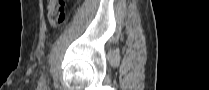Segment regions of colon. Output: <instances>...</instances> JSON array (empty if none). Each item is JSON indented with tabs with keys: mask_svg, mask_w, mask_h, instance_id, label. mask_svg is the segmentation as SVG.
<instances>
[{
	"mask_svg": "<svg viewBox=\"0 0 209 90\" xmlns=\"http://www.w3.org/2000/svg\"><path fill=\"white\" fill-rule=\"evenodd\" d=\"M47 17L51 26H61L66 20V2L64 0H50Z\"/></svg>",
	"mask_w": 209,
	"mask_h": 90,
	"instance_id": "5ec220e1",
	"label": "colon"
}]
</instances>
